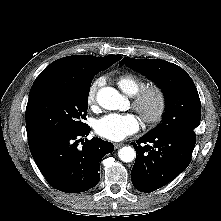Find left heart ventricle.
Returning <instances> with one entry per match:
<instances>
[{
  "label": "left heart ventricle",
  "instance_id": "left-heart-ventricle-1",
  "mask_svg": "<svg viewBox=\"0 0 221 221\" xmlns=\"http://www.w3.org/2000/svg\"><path fill=\"white\" fill-rule=\"evenodd\" d=\"M155 105V100L153 98H150L148 101V108L152 109Z\"/></svg>",
  "mask_w": 221,
  "mask_h": 221
}]
</instances>
